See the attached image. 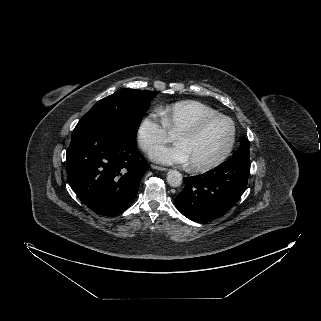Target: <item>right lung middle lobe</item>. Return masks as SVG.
<instances>
[{
	"label": "right lung middle lobe",
	"mask_w": 321,
	"mask_h": 321,
	"mask_svg": "<svg viewBox=\"0 0 321 321\" xmlns=\"http://www.w3.org/2000/svg\"><path fill=\"white\" fill-rule=\"evenodd\" d=\"M157 94L153 91L121 89L98 101L78 122L73 133L124 128L135 136L142 114Z\"/></svg>",
	"instance_id": "dd1d6c3e"
}]
</instances>
